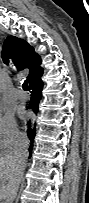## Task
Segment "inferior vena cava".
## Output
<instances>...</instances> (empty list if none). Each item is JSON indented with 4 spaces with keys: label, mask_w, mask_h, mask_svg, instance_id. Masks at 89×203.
<instances>
[{
    "label": "inferior vena cava",
    "mask_w": 89,
    "mask_h": 203,
    "mask_svg": "<svg viewBox=\"0 0 89 203\" xmlns=\"http://www.w3.org/2000/svg\"><path fill=\"white\" fill-rule=\"evenodd\" d=\"M28 147H29V140L27 137H21L17 141V148L14 153V157L18 161V173H19V178L17 180V184L15 187L14 195H16L17 190H18V185L21 181V178L23 176V171L26 165V161L28 158Z\"/></svg>",
    "instance_id": "1"
}]
</instances>
